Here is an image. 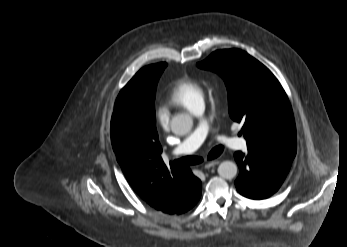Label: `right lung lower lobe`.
Masks as SVG:
<instances>
[{"instance_id": "1", "label": "right lung lower lobe", "mask_w": 347, "mask_h": 247, "mask_svg": "<svg viewBox=\"0 0 347 247\" xmlns=\"http://www.w3.org/2000/svg\"><path fill=\"white\" fill-rule=\"evenodd\" d=\"M201 196V188L197 191L196 194L193 195L192 198H190L182 207H180L175 213L173 214H181L184 213L191 208L198 202Z\"/></svg>"}]
</instances>
